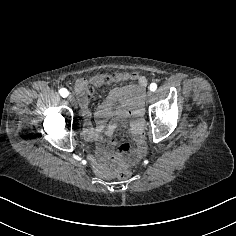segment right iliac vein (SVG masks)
<instances>
[{
	"mask_svg": "<svg viewBox=\"0 0 236 236\" xmlns=\"http://www.w3.org/2000/svg\"><path fill=\"white\" fill-rule=\"evenodd\" d=\"M70 103L76 111L79 109L78 102L75 100V98H70Z\"/></svg>",
	"mask_w": 236,
	"mask_h": 236,
	"instance_id": "1",
	"label": "right iliac vein"
}]
</instances>
